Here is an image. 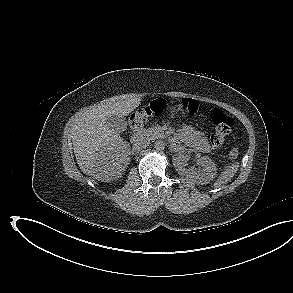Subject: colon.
Segmentation results:
<instances>
[{
    "label": "colon",
    "mask_w": 293,
    "mask_h": 293,
    "mask_svg": "<svg viewBox=\"0 0 293 293\" xmlns=\"http://www.w3.org/2000/svg\"><path fill=\"white\" fill-rule=\"evenodd\" d=\"M184 109L190 114L195 115L200 111V105L193 99H185L183 101ZM165 110V103L162 100H155L149 105L136 110L130 118L131 132L138 131L146 121L153 116H160ZM212 122L215 130L211 135V143L215 147L223 144L225 137L229 134L234 120L220 110H215L212 114ZM239 155V147L234 146L230 149L229 156L231 159H236Z\"/></svg>",
    "instance_id": "1"
}]
</instances>
